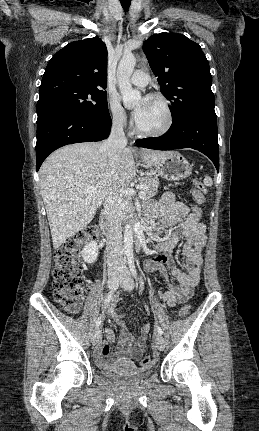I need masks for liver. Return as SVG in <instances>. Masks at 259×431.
<instances>
[{
  "label": "liver",
  "mask_w": 259,
  "mask_h": 431,
  "mask_svg": "<svg viewBox=\"0 0 259 431\" xmlns=\"http://www.w3.org/2000/svg\"><path fill=\"white\" fill-rule=\"evenodd\" d=\"M102 143H75L53 152L40 168V192L45 204L53 247L85 228L110 192L132 181L136 166L131 149L124 148L111 165ZM169 152L142 149V166L152 167ZM98 186L85 192L89 186Z\"/></svg>",
  "instance_id": "6515ba94"
}]
</instances>
